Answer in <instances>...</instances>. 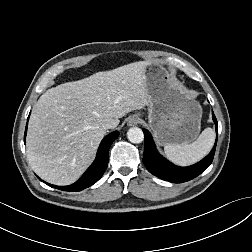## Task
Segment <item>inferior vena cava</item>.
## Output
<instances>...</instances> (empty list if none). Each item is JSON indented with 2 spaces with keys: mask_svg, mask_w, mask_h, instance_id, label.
Returning <instances> with one entry per match:
<instances>
[{
  "mask_svg": "<svg viewBox=\"0 0 252 252\" xmlns=\"http://www.w3.org/2000/svg\"><path fill=\"white\" fill-rule=\"evenodd\" d=\"M115 127H116V124L111 121H107L102 124V128L104 129H113Z\"/></svg>",
  "mask_w": 252,
  "mask_h": 252,
  "instance_id": "602c4592",
  "label": "inferior vena cava"
}]
</instances>
